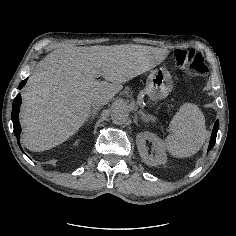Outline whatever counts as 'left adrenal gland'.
Listing matches in <instances>:
<instances>
[{
	"label": "left adrenal gland",
	"instance_id": "a2214340",
	"mask_svg": "<svg viewBox=\"0 0 236 236\" xmlns=\"http://www.w3.org/2000/svg\"><path fill=\"white\" fill-rule=\"evenodd\" d=\"M140 115H141V118L145 121V122H148V121H154L155 120V117L150 115V114H146L144 113L142 110H139L138 112Z\"/></svg>",
	"mask_w": 236,
	"mask_h": 236
}]
</instances>
